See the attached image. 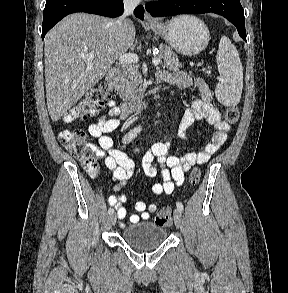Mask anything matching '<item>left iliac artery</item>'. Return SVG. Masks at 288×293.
Masks as SVG:
<instances>
[{"label": "left iliac artery", "mask_w": 288, "mask_h": 293, "mask_svg": "<svg viewBox=\"0 0 288 293\" xmlns=\"http://www.w3.org/2000/svg\"><path fill=\"white\" fill-rule=\"evenodd\" d=\"M176 206L180 211H183L184 207L183 204L181 202H176Z\"/></svg>", "instance_id": "44dca946"}]
</instances>
